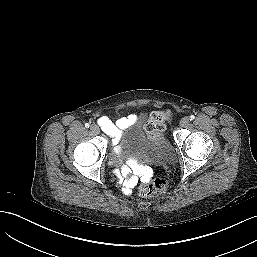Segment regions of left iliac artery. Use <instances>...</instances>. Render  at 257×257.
I'll list each match as a JSON object with an SVG mask.
<instances>
[{
  "label": "left iliac artery",
  "mask_w": 257,
  "mask_h": 257,
  "mask_svg": "<svg viewBox=\"0 0 257 257\" xmlns=\"http://www.w3.org/2000/svg\"><path fill=\"white\" fill-rule=\"evenodd\" d=\"M195 119V116L194 115H191L190 116V120H194Z\"/></svg>",
  "instance_id": "left-iliac-artery-1"
}]
</instances>
